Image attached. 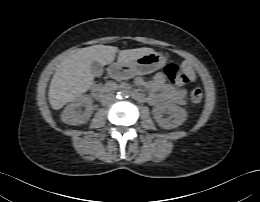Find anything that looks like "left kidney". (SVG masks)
Segmentation results:
<instances>
[{"label": "left kidney", "mask_w": 260, "mask_h": 202, "mask_svg": "<svg viewBox=\"0 0 260 202\" xmlns=\"http://www.w3.org/2000/svg\"><path fill=\"white\" fill-rule=\"evenodd\" d=\"M152 112L158 125L164 129L179 127L185 122L188 116L184 108L168 102L156 105ZM164 113H168L170 117L163 118Z\"/></svg>", "instance_id": "5707ae66"}]
</instances>
